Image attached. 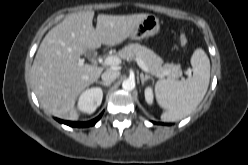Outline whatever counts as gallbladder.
<instances>
[{"label":"gallbladder","mask_w":248,"mask_h":165,"mask_svg":"<svg viewBox=\"0 0 248 165\" xmlns=\"http://www.w3.org/2000/svg\"><path fill=\"white\" fill-rule=\"evenodd\" d=\"M86 53H87V55L89 57H94L95 56V52L93 50H88Z\"/></svg>","instance_id":"1"}]
</instances>
